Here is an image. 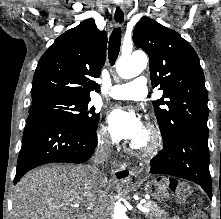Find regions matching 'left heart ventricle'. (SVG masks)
Masks as SVG:
<instances>
[{"label": "left heart ventricle", "instance_id": "obj_1", "mask_svg": "<svg viewBox=\"0 0 221 219\" xmlns=\"http://www.w3.org/2000/svg\"><path fill=\"white\" fill-rule=\"evenodd\" d=\"M144 133L143 131L132 141V142H135L137 144H143L144 143Z\"/></svg>", "mask_w": 221, "mask_h": 219}]
</instances>
